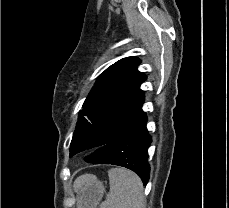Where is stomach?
Returning a JSON list of instances; mask_svg holds the SVG:
<instances>
[{
	"instance_id": "obj_1",
	"label": "stomach",
	"mask_w": 229,
	"mask_h": 208,
	"mask_svg": "<svg viewBox=\"0 0 229 208\" xmlns=\"http://www.w3.org/2000/svg\"><path fill=\"white\" fill-rule=\"evenodd\" d=\"M75 192L77 196L76 208H97L105 190L102 182H99L94 176L92 180H88L79 188H75Z\"/></svg>"
}]
</instances>
